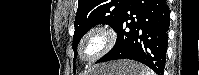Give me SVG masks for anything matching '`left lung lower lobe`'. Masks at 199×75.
I'll use <instances>...</instances> for the list:
<instances>
[{
	"label": "left lung lower lobe",
	"mask_w": 199,
	"mask_h": 75,
	"mask_svg": "<svg viewBox=\"0 0 199 75\" xmlns=\"http://www.w3.org/2000/svg\"><path fill=\"white\" fill-rule=\"evenodd\" d=\"M169 25L166 0H129L115 30V46L96 63L131 59L163 75Z\"/></svg>",
	"instance_id": "0a47b994"
}]
</instances>
